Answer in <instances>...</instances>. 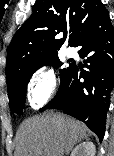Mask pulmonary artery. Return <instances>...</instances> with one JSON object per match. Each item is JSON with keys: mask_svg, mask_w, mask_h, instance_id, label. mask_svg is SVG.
<instances>
[{"mask_svg": "<svg viewBox=\"0 0 114 156\" xmlns=\"http://www.w3.org/2000/svg\"><path fill=\"white\" fill-rule=\"evenodd\" d=\"M65 54L68 56V57H72L74 55V50L71 49V48H67L65 50Z\"/></svg>", "mask_w": 114, "mask_h": 156, "instance_id": "e3ab8cb5", "label": "pulmonary artery"}]
</instances>
